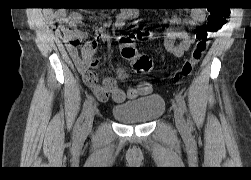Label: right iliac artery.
<instances>
[{"mask_svg":"<svg viewBox=\"0 0 251 180\" xmlns=\"http://www.w3.org/2000/svg\"><path fill=\"white\" fill-rule=\"evenodd\" d=\"M94 102V98L93 96L89 95L87 97V99L85 100L84 102V105H83V109H82V112H81V115L78 119V122H77V127L79 128L80 124L82 123V121L84 120L88 110L90 109V107L92 106V103Z\"/></svg>","mask_w":251,"mask_h":180,"instance_id":"82829eb1","label":"right iliac artery"}]
</instances>
